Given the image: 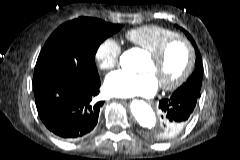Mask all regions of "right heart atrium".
I'll use <instances>...</instances> for the list:
<instances>
[{"label": "right heart atrium", "instance_id": "d8ad5b80", "mask_svg": "<svg viewBox=\"0 0 240 160\" xmlns=\"http://www.w3.org/2000/svg\"><path fill=\"white\" fill-rule=\"evenodd\" d=\"M122 47L113 38L103 40L95 51V61L102 71H110L118 66Z\"/></svg>", "mask_w": 240, "mask_h": 160}]
</instances>
